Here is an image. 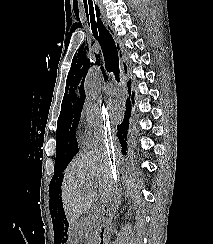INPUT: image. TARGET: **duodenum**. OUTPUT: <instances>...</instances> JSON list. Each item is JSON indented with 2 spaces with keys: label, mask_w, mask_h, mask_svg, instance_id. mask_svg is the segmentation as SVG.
<instances>
[{
  "label": "duodenum",
  "mask_w": 213,
  "mask_h": 244,
  "mask_svg": "<svg viewBox=\"0 0 213 244\" xmlns=\"http://www.w3.org/2000/svg\"><path fill=\"white\" fill-rule=\"evenodd\" d=\"M108 217H109L108 209L105 208L103 210V220L105 222H107L108 221ZM105 234H106L105 230L101 231L99 244H104Z\"/></svg>",
  "instance_id": "1"
}]
</instances>
